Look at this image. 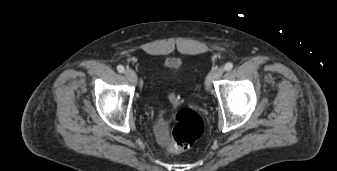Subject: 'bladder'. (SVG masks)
<instances>
[{
	"mask_svg": "<svg viewBox=\"0 0 337 171\" xmlns=\"http://www.w3.org/2000/svg\"><path fill=\"white\" fill-rule=\"evenodd\" d=\"M166 68H168V69H174V66L170 63V62H168V63H166Z\"/></svg>",
	"mask_w": 337,
	"mask_h": 171,
	"instance_id": "1",
	"label": "bladder"
}]
</instances>
